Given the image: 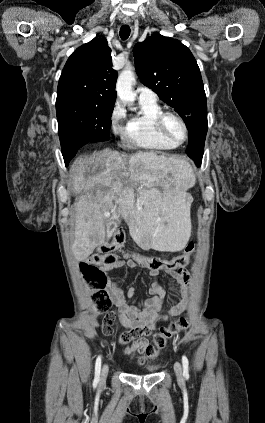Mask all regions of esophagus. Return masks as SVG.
Listing matches in <instances>:
<instances>
[{
	"mask_svg": "<svg viewBox=\"0 0 265 423\" xmlns=\"http://www.w3.org/2000/svg\"><path fill=\"white\" fill-rule=\"evenodd\" d=\"M123 23L126 24V25L130 24L131 23V19L130 18H124L123 19Z\"/></svg>",
	"mask_w": 265,
	"mask_h": 423,
	"instance_id": "34e87169",
	"label": "esophagus"
}]
</instances>
